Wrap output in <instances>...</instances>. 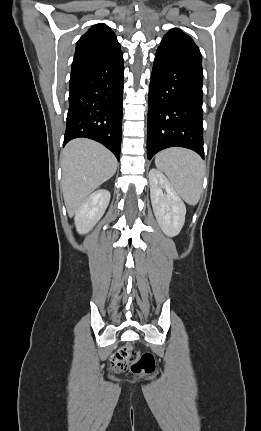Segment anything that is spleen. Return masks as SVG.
I'll use <instances>...</instances> for the list:
<instances>
[{
    "mask_svg": "<svg viewBox=\"0 0 261 431\" xmlns=\"http://www.w3.org/2000/svg\"><path fill=\"white\" fill-rule=\"evenodd\" d=\"M155 164L187 204L198 203L204 176V163L199 155L187 149L170 148L156 155Z\"/></svg>",
    "mask_w": 261,
    "mask_h": 431,
    "instance_id": "3e777b00",
    "label": "spleen"
}]
</instances>
